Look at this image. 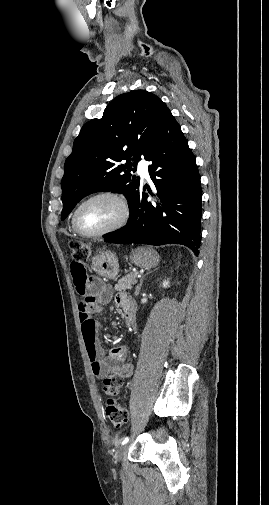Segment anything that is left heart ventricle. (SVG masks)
<instances>
[{
    "mask_svg": "<svg viewBox=\"0 0 269 505\" xmlns=\"http://www.w3.org/2000/svg\"><path fill=\"white\" fill-rule=\"evenodd\" d=\"M121 215L120 205L111 198H98L85 204L78 214L80 227L98 232L113 225Z\"/></svg>",
    "mask_w": 269,
    "mask_h": 505,
    "instance_id": "obj_1",
    "label": "left heart ventricle"
}]
</instances>
